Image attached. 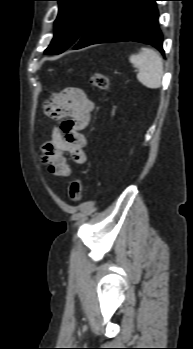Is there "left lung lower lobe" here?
<instances>
[{"label": "left lung lower lobe", "mask_w": 193, "mask_h": 349, "mask_svg": "<svg viewBox=\"0 0 193 349\" xmlns=\"http://www.w3.org/2000/svg\"><path fill=\"white\" fill-rule=\"evenodd\" d=\"M156 1L109 0L74 49L97 43L137 41L151 44L163 54Z\"/></svg>", "instance_id": "obj_1"}]
</instances>
